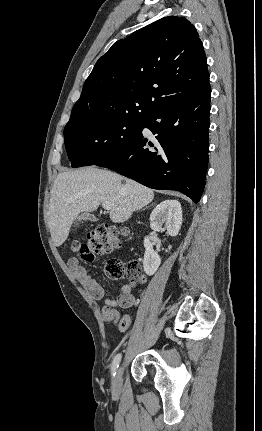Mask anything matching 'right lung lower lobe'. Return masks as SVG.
Returning a JSON list of instances; mask_svg holds the SVG:
<instances>
[{"mask_svg": "<svg viewBox=\"0 0 262 431\" xmlns=\"http://www.w3.org/2000/svg\"><path fill=\"white\" fill-rule=\"evenodd\" d=\"M210 96L209 84L194 97L148 116L126 145L95 165L199 202L208 164ZM144 128L156 135L153 142L142 134Z\"/></svg>", "mask_w": 262, "mask_h": 431, "instance_id": "right-lung-lower-lobe-1", "label": "right lung lower lobe"}]
</instances>
